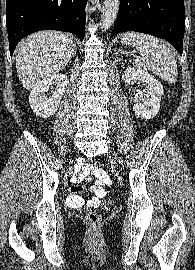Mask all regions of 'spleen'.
<instances>
[{
  "instance_id": "obj_1",
  "label": "spleen",
  "mask_w": 195,
  "mask_h": 270,
  "mask_svg": "<svg viewBox=\"0 0 195 270\" xmlns=\"http://www.w3.org/2000/svg\"><path fill=\"white\" fill-rule=\"evenodd\" d=\"M121 43L133 45L140 52L135 60L139 68L152 71L168 83L177 81V62L164 41L148 34L128 32Z\"/></svg>"
}]
</instances>
